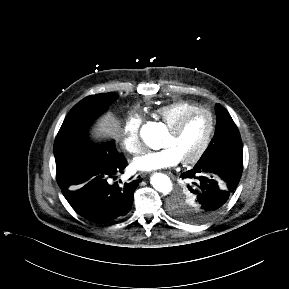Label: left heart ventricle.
Here are the masks:
<instances>
[{
  "label": "left heart ventricle",
  "mask_w": 289,
  "mask_h": 289,
  "mask_svg": "<svg viewBox=\"0 0 289 289\" xmlns=\"http://www.w3.org/2000/svg\"><path fill=\"white\" fill-rule=\"evenodd\" d=\"M210 118L206 113L192 116L180 133L174 135L168 131L162 147H171L181 160L194 155L205 141L210 130Z\"/></svg>",
  "instance_id": "left-heart-ventricle-1"
}]
</instances>
